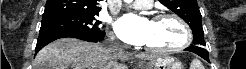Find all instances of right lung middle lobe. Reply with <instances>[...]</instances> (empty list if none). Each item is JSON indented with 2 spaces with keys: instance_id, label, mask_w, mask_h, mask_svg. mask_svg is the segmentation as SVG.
I'll use <instances>...</instances> for the list:
<instances>
[{
  "instance_id": "obj_1",
  "label": "right lung middle lobe",
  "mask_w": 246,
  "mask_h": 69,
  "mask_svg": "<svg viewBox=\"0 0 246 69\" xmlns=\"http://www.w3.org/2000/svg\"><path fill=\"white\" fill-rule=\"evenodd\" d=\"M98 14H59L43 17L40 32L74 31L83 34H97L101 24Z\"/></svg>"
}]
</instances>
